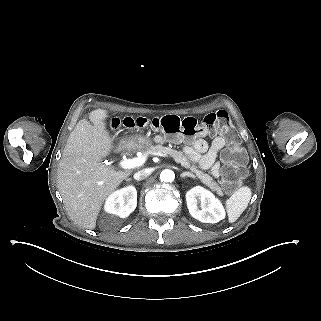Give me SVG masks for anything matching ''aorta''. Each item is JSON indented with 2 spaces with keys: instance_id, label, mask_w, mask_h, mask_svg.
Listing matches in <instances>:
<instances>
[{
  "instance_id": "1",
  "label": "aorta",
  "mask_w": 321,
  "mask_h": 321,
  "mask_svg": "<svg viewBox=\"0 0 321 321\" xmlns=\"http://www.w3.org/2000/svg\"><path fill=\"white\" fill-rule=\"evenodd\" d=\"M160 179L163 182H172L175 179V174L172 170L165 169L161 172Z\"/></svg>"
}]
</instances>
